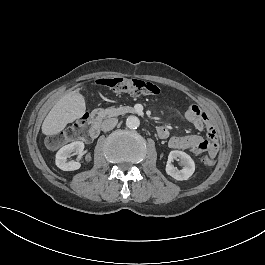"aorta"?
Listing matches in <instances>:
<instances>
[{"label": "aorta", "mask_w": 265, "mask_h": 265, "mask_svg": "<svg viewBox=\"0 0 265 265\" xmlns=\"http://www.w3.org/2000/svg\"><path fill=\"white\" fill-rule=\"evenodd\" d=\"M140 125V120L138 117L136 116H129L127 119H126V126L129 128V129H136L138 128Z\"/></svg>", "instance_id": "obj_1"}]
</instances>
